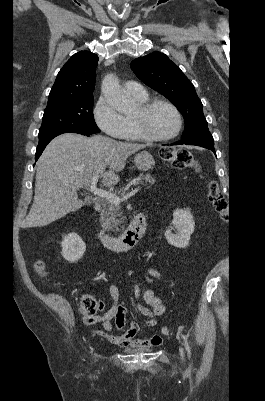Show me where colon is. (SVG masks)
Wrapping results in <instances>:
<instances>
[{
  "instance_id": "colon-1",
  "label": "colon",
  "mask_w": 265,
  "mask_h": 401,
  "mask_svg": "<svg viewBox=\"0 0 265 401\" xmlns=\"http://www.w3.org/2000/svg\"><path fill=\"white\" fill-rule=\"evenodd\" d=\"M161 156L177 169H198V164L195 162L192 155L185 150L164 148L161 150ZM208 199L216 212L224 219L228 215L229 205L215 181H211L208 185ZM35 269L40 275H45L44 265L41 261L36 262ZM79 307L82 315L85 317H92L98 310H101L102 303L98 302L93 296L86 295L81 298ZM161 333L168 335L170 334V329L163 327Z\"/></svg>"
}]
</instances>
